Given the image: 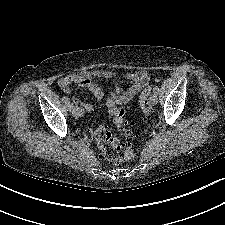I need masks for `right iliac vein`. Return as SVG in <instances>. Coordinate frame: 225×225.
I'll return each mask as SVG.
<instances>
[{
  "label": "right iliac vein",
  "mask_w": 225,
  "mask_h": 225,
  "mask_svg": "<svg viewBox=\"0 0 225 225\" xmlns=\"http://www.w3.org/2000/svg\"><path fill=\"white\" fill-rule=\"evenodd\" d=\"M71 112H72L73 117H75V118L80 116V110L78 107H73L71 109Z\"/></svg>",
  "instance_id": "1"
}]
</instances>
